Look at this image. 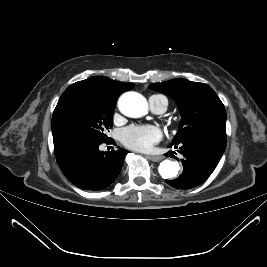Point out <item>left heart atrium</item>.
I'll list each match as a JSON object with an SVG mask.
<instances>
[{"label": "left heart atrium", "instance_id": "left-heart-atrium-1", "mask_svg": "<svg viewBox=\"0 0 267 267\" xmlns=\"http://www.w3.org/2000/svg\"><path fill=\"white\" fill-rule=\"evenodd\" d=\"M161 139L162 131L156 126L131 125L120 132L121 142L137 151H150Z\"/></svg>", "mask_w": 267, "mask_h": 267}]
</instances>
